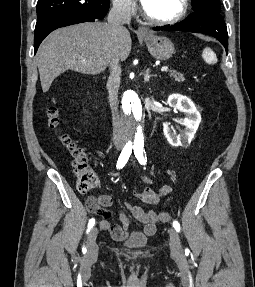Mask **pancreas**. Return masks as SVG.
I'll return each mask as SVG.
<instances>
[{
    "instance_id": "1",
    "label": "pancreas",
    "mask_w": 255,
    "mask_h": 287,
    "mask_svg": "<svg viewBox=\"0 0 255 287\" xmlns=\"http://www.w3.org/2000/svg\"><path fill=\"white\" fill-rule=\"evenodd\" d=\"M170 76L171 78H175V82H183V80H185L183 74H178V72H174V70H172Z\"/></svg>"
}]
</instances>
